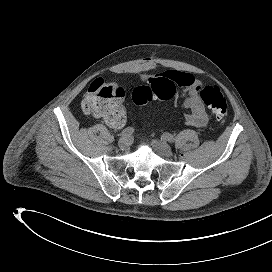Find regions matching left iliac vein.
<instances>
[{"mask_svg":"<svg viewBox=\"0 0 272 272\" xmlns=\"http://www.w3.org/2000/svg\"><path fill=\"white\" fill-rule=\"evenodd\" d=\"M152 146L155 151L162 156L171 157L173 155L170 146L164 141L153 140Z\"/></svg>","mask_w":272,"mask_h":272,"instance_id":"obj_1","label":"left iliac vein"}]
</instances>
